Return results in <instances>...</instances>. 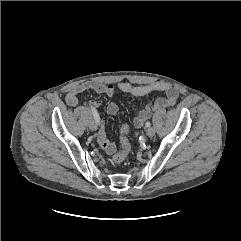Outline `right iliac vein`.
Listing matches in <instances>:
<instances>
[{
    "label": "right iliac vein",
    "mask_w": 241,
    "mask_h": 241,
    "mask_svg": "<svg viewBox=\"0 0 241 241\" xmlns=\"http://www.w3.org/2000/svg\"><path fill=\"white\" fill-rule=\"evenodd\" d=\"M89 128L92 130V131H96L97 130V122L92 119L90 120L89 122Z\"/></svg>",
    "instance_id": "obj_1"
}]
</instances>
